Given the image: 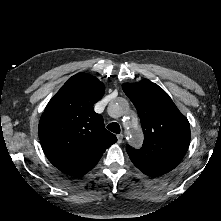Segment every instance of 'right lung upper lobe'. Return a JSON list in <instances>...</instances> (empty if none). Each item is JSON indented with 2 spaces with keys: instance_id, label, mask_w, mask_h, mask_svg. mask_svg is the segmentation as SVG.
I'll list each match as a JSON object with an SVG mask.
<instances>
[{
  "instance_id": "right-lung-upper-lobe-1",
  "label": "right lung upper lobe",
  "mask_w": 221,
  "mask_h": 221,
  "mask_svg": "<svg viewBox=\"0 0 221 221\" xmlns=\"http://www.w3.org/2000/svg\"><path fill=\"white\" fill-rule=\"evenodd\" d=\"M105 93L96 77L72 76L46 106L39 122V138L49 161L57 168L102 156L117 141L105 129L93 105Z\"/></svg>"
}]
</instances>
